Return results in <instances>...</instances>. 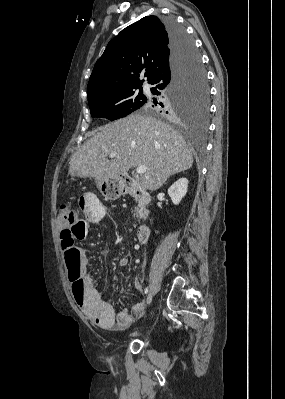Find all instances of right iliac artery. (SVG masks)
<instances>
[{"mask_svg":"<svg viewBox=\"0 0 285 399\" xmlns=\"http://www.w3.org/2000/svg\"><path fill=\"white\" fill-rule=\"evenodd\" d=\"M148 292H149V287L147 286V287L144 289V293H145V294H148Z\"/></svg>","mask_w":285,"mask_h":399,"instance_id":"right-iliac-artery-1","label":"right iliac artery"}]
</instances>
